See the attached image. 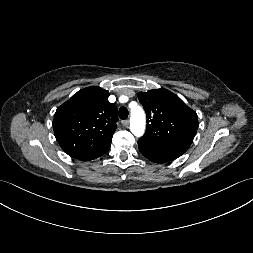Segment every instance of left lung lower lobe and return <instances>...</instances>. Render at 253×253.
I'll list each match as a JSON object with an SVG mask.
<instances>
[{
  "mask_svg": "<svg viewBox=\"0 0 253 253\" xmlns=\"http://www.w3.org/2000/svg\"><path fill=\"white\" fill-rule=\"evenodd\" d=\"M138 147L142 155L155 163L169 162L181 156L174 152L151 148L141 144H138Z\"/></svg>",
  "mask_w": 253,
  "mask_h": 253,
  "instance_id": "0a47b994",
  "label": "left lung lower lobe"
}]
</instances>
